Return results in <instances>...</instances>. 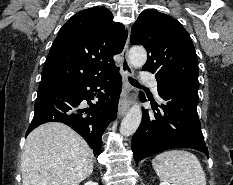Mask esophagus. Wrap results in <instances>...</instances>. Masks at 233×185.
I'll use <instances>...</instances> for the list:
<instances>
[{
  "instance_id": "obj_1",
  "label": "esophagus",
  "mask_w": 233,
  "mask_h": 185,
  "mask_svg": "<svg viewBox=\"0 0 233 185\" xmlns=\"http://www.w3.org/2000/svg\"><path fill=\"white\" fill-rule=\"evenodd\" d=\"M128 49H129V36L127 38L124 49L121 53V66L120 71L123 76V86H122V94L118 105V116L122 117L129 109L131 100L130 93L132 91V87L128 82V77L133 76L134 71L128 59Z\"/></svg>"
}]
</instances>
